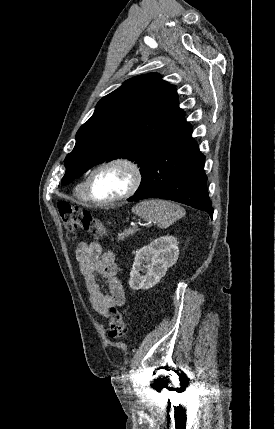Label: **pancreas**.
Segmentation results:
<instances>
[{"mask_svg": "<svg viewBox=\"0 0 275 429\" xmlns=\"http://www.w3.org/2000/svg\"><path fill=\"white\" fill-rule=\"evenodd\" d=\"M138 231L137 228L127 229L123 233L118 234V241H122L125 238L134 235Z\"/></svg>", "mask_w": 275, "mask_h": 429, "instance_id": "1", "label": "pancreas"}]
</instances>
